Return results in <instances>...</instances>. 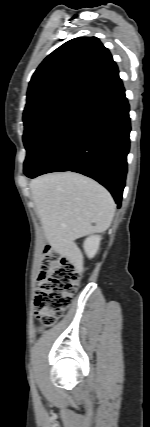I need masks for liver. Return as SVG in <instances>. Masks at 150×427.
<instances>
[{
    "instance_id": "liver-1",
    "label": "liver",
    "mask_w": 150,
    "mask_h": 427,
    "mask_svg": "<svg viewBox=\"0 0 150 427\" xmlns=\"http://www.w3.org/2000/svg\"><path fill=\"white\" fill-rule=\"evenodd\" d=\"M30 189L46 239L60 254L76 250V239L102 233L112 222L114 200L90 178L73 172L46 174L32 180Z\"/></svg>"
}]
</instances>
